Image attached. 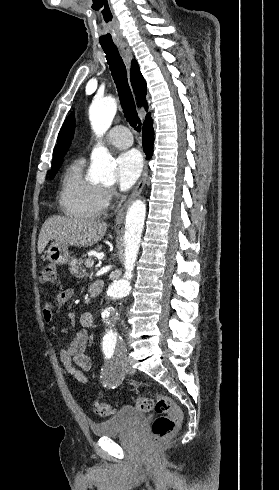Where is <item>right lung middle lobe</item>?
Returning a JSON list of instances; mask_svg holds the SVG:
<instances>
[{
	"mask_svg": "<svg viewBox=\"0 0 279 490\" xmlns=\"http://www.w3.org/2000/svg\"><path fill=\"white\" fill-rule=\"evenodd\" d=\"M58 169H59V167L51 170L49 179H52L55 176V174H56V172H57Z\"/></svg>",
	"mask_w": 279,
	"mask_h": 490,
	"instance_id": "right-lung-middle-lobe-1",
	"label": "right lung middle lobe"
}]
</instances>
